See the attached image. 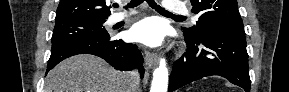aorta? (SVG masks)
Masks as SVG:
<instances>
[{"label": "aorta", "mask_w": 289, "mask_h": 92, "mask_svg": "<svg viewBox=\"0 0 289 92\" xmlns=\"http://www.w3.org/2000/svg\"><path fill=\"white\" fill-rule=\"evenodd\" d=\"M168 89V69L166 60L160 59L159 66L153 72V80L150 92H167Z\"/></svg>", "instance_id": "obj_1"}]
</instances>
